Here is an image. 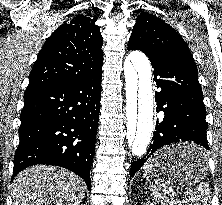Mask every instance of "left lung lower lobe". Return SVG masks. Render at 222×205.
<instances>
[{"label":"left lung lower lobe","instance_id":"1","mask_svg":"<svg viewBox=\"0 0 222 205\" xmlns=\"http://www.w3.org/2000/svg\"><path fill=\"white\" fill-rule=\"evenodd\" d=\"M133 49L140 50L128 46V50ZM145 54L154 69L156 85L161 88L159 92H155L156 111H163L164 118L157 121L152 144L146 155L132 163L131 177L157 149L165 145L190 141L202 146L201 150L180 151L170 160L172 164L183 166L204 162L206 153L203 148L209 149L206 138V109L196 65L176 55Z\"/></svg>","mask_w":222,"mask_h":205}]
</instances>
